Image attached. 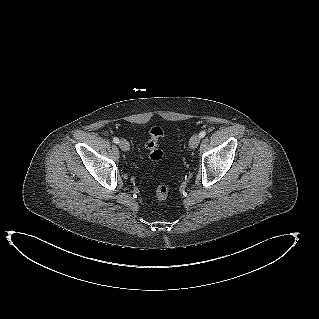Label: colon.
<instances>
[{
  "label": "colon",
  "mask_w": 319,
  "mask_h": 319,
  "mask_svg": "<svg viewBox=\"0 0 319 319\" xmlns=\"http://www.w3.org/2000/svg\"><path fill=\"white\" fill-rule=\"evenodd\" d=\"M164 132L159 126L151 127L148 131V140L145 144L149 153V159L152 163H158L163 158V151L160 148L159 141ZM169 188L167 183L160 181L155 185V195L159 200H165L168 196Z\"/></svg>",
  "instance_id": "5ec220e1"
}]
</instances>
